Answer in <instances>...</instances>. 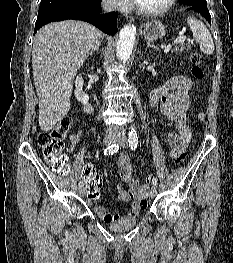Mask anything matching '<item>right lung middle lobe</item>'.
I'll use <instances>...</instances> for the list:
<instances>
[{"instance_id": "dd1d6c3e", "label": "right lung middle lobe", "mask_w": 233, "mask_h": 263, "mask_svg": "<svg viewBox=\"0 0 233 263\" xmlns=\"http://www.w3.org/2000/svg\"><path fill=\"white\" fill-rule=\"evenodd\" d=\"M79 0H41L37 20H42L46 17L70 13L77 6Z\"/></svg>"}]
</instances>
